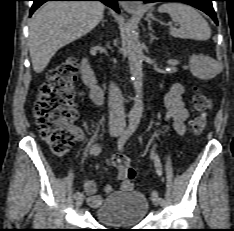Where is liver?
I'll return each mask as SVG.
<instances>
[{
	"label": "liver",
	"mask_w": 234,
	"mask_h": 231,
	"mask_svg": "<svg viewBox=\"0 0 234 231\" xmlns=\"http://www.w3.org/2000/svg\"><path fill=\"white\" fill-rule=\"evenodd\" d=\"M105 6L98 1H52L32 16L29 51L33 69L41 73L55 53L94 29Z\"/></svg>",
	"instance_id": "obj_1"
}]
</instances>
